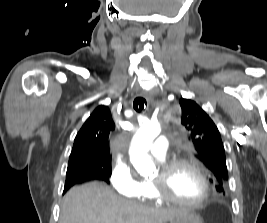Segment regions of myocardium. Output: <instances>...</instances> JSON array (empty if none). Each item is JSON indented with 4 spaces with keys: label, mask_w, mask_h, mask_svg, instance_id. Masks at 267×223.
<instances>
[{
    "label": "myocardium",
    "mask_w": 267,
    "mask_h": 223,
    "mask_svg": "<svg viewBox=\"0 0 267 223\" xmlns=\"http://www.w3.org/2000/svg\"><path fill=\"white\" fill-rule=\"evenodd\" d=\"M188 166L193 168L201 177L204 184V194L203 196L195 201L182 200L171 195L167 189L168 177L179 167ZM154 193L158 200L177 204L184 207H199L203 205L210 197V183L204 168H202L196 161L191 159H175L163 163L159 169V173L156 178L150 181Z\"/></svg>",
    "instance_id": "obj_1"
}]
</instances>
